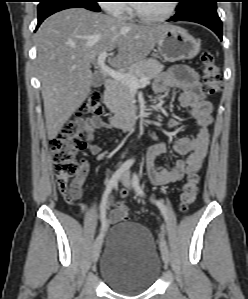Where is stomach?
<instances>
[{"label":"stomach","mask_w":248,"mask_h":299,"mask_svg":"<svg viewBox=\"0 0 248 299\" xmlns=\"http://www.w3.org/2000/svg\"><path fill=\"white\" fill-rule=\"evenodd\" d=\"M161 57L168 62L194 58L200 51V45L186 30L169 26L157 42Z\"/></svg>","instance_id":"stomach-1"}]
</instances>
